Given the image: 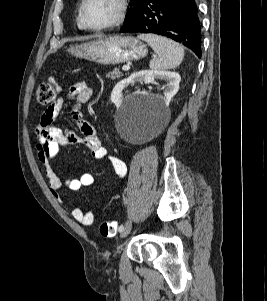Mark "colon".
Masks as SVG:
<instances>
[{"label": "colon", "mask_w": 267, "mask_h": 301, "mask_svg": "<svg viewBox=\"0 0 267 301\" xmlns=\"http://www.w3.org/2000/svg\"><path fill=\"white\" fill-rule=\"evenodd\" d=\"M59 92V86L54 79L42 83L36 93V99L38 104L48 106L54 103ZM99 232L103 237H112L117 232L116 221H105L99 226Z\"/></svg>", "instance_id": "1"}]
</instances>
